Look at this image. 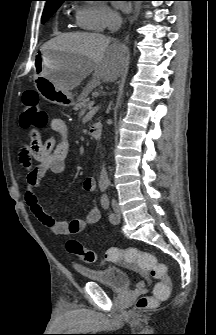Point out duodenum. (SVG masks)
<instances>
[{"label":"duodenum","instance_id":"duodenum-1","mask_svg":"<svg viewBox=\"0 0 216 335\" xmlns=\"http://www.w3.org/2000/svg\"><path fill=\"white\" fill-rule=\"evenodd\" d=\"M102 126L100 123L92 124L89 127L88 134L91 138L98 140L101 137Z\"/></svg>","mask_w":216,"mask_h":335}]
</instances>
